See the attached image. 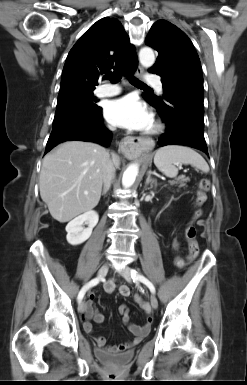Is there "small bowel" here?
<instances>
[{
    "mask_svg": "<svg viewBox=\"0 0 247 385\" xmlns=\"http://www.w3.org/2000/svg\"><path fill=\"white\" fill-rule=\"evenodd\" d=\"M124 289H128V293L125 294L123 292ZM104 290L110 294L118 291L122 296L130 295L129 286L127 285L117 286L115 281L112 279L105 282ZM134 300L144 310V312L147 315L145 323L143 325H137L132 323L130 320L128 307L126 305H120L118 308V313L121 316L122 323L127 327L128 331L134 336V339L132 341H126L119 345L106 346L105 338L102 336H98L96 338V343H97V346L100 348V350H107L112 353L124 352L129 348H131L134 344L138 343L148 333L152 324L150 306L146 301H144L138 295L135 296ZM94 301H95V294L90 293L88 295L87 301L85 302L86 310L82 317L84 330L88 333H91L93 331V327L91 323L92 321L100 324V323H103L105 320V316L98 311Z\"/></svg>",
    "mask_w": 247,
    "mask_h": 385,
    "instance_id": "c3829d8e",
    "label": "small bowel"
}]
</instances>
